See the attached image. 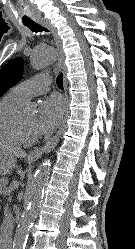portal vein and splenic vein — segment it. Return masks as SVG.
<instances>
[{
  "mask_svg": "<svg viewBox=\"0 0 135 249\" xmlns=\"http://www.w3.org/2000/svg\"><path fill=\"white\" fill-rule=\"evenodd\" d=\"M11 200H12V197L10 196V197H9V201H11Z\"/></svg>",
  "mask_w": 135,
  "mask_h": 249,
  "instance_id": "obj_1",
  "label": "portal vein and splenic vein"
}]
</instances>
